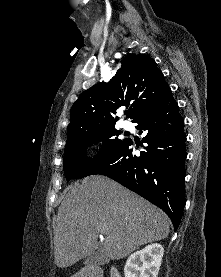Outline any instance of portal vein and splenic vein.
<instances>
[{
    "label": "portal vein and splenic vein",
    "instance_id": "18ae733b",
    "mask_svg": "<svg viewBox=\"0 0 221 277\" xmlns=\"http://www.w3.org/2000/svg\"><path fill=\"white\" fill-rule=\"evenodd\" d=\"M99 232H100L101 234H103V233H104V229H103V228H99Z\"/></svg>",
    "mask_w": 221,
    "mask_h": 277
}]
</instances>
